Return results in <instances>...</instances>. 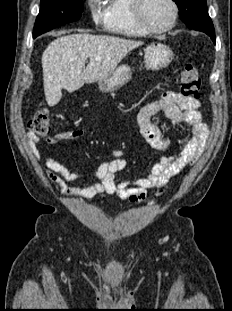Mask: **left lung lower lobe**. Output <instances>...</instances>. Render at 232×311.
<instances>
[{
    "mask_svg": "<svg viewBox=\"0 0 232 311\" xmlns=\"http://www.w3.org/2000/svg\"><path fill=\"white\" fill-rule=\"evenodd\" d=\"M190 29H194V30L202 31L206 33L207 35L211 37L212 41L215 43L214 26L209 16L205 18L204 20L200 21L199 23H197L195 26H193Z\"/></svg>",
    "mask_w": 232,
    "mask_h": 311,
    "instance_id": "0a47b994",
    "label": "left lung lower lobe"
}]
</instances>
